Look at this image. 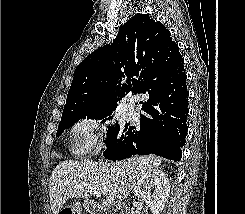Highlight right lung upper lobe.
Masks as SVG:
<instances>
[{
  "instance_id": "obj_1",
  "label": "right lung upper lobe",
  "mask_w": 245,
  "mask_h": 214,
  "mask_svg": "<svg viewBox=\"0 0 245 214\" xmlns=\"http://www.w3.org/2000/svg\"><path fill=\"white\" fill-rule=\"evenodd\" d=\"M183 64L170 31L149 15L137 14L120 27L112 45L98 48L76 68L63 114L112 111L125 96L146 93L156 72L173 81L184 79Z\"/></svg>"
}]
</instances>
